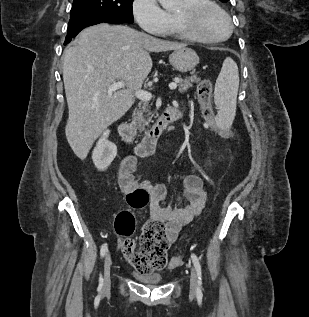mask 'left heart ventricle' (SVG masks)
<instances>
[{
    "instance_id": "b2bd125f",
    "label": "left heart ventricle",
    "mask_w": 309,
    "mask_h": 317,
    "mask_svg": "<svg viewBox=\"0 0 309 317\" xmlns=\"http://www.w3.org/2000/svg\"><path fill=\"white\" fill-rule=\"evenodd\" d=\"M195 27L199 32L214 37H222L227 33L226 21L214 11L204 13L195 22Z\"/></svg>"
}]
</instances>
